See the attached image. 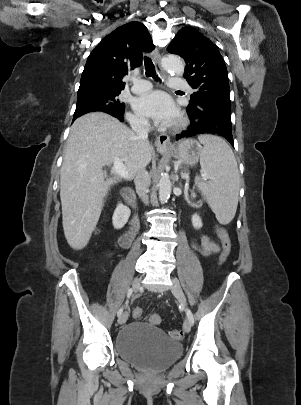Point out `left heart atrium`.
Wrapping results in <instances>:
<instances>
[{"label":"left heart atrium","mask_w":301,"mask_h":405,"mask_svg":"<svg viewBox=\"0 0 301 405\" xmlns=\"http://www.w3.org/2000/svg\"><path fill=\"white\" fill-rule=\"evenodd\" d=\"M135 111L161 125H171L178 118L179 111L172 99L162 91H151L137 97Z\"/></svg>","instance_id":"1"}]
</instances>
